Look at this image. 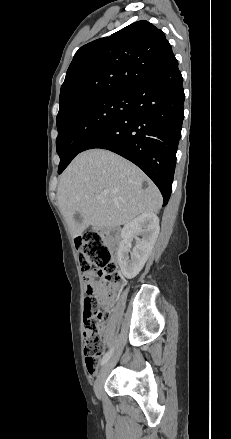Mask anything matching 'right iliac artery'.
Wrapping results in <instances>:
<instances>
[{
    "label": "right iliac artery",
    "instance_id": "right-iliac-artery-1",
    "mask_svg": "<svg viewBox=\"0 0 231 439\" xmlns=\"http://www.w3.org/2000/svg\"><path fill=\"white\" fill-rule=\"evenodd\" d=\"M113 348L112 349H110L104 356H103V358H102V360H101V365H104L108 360H109V358L111 357V355H112V353H113Z\"/></svg>",
    "mask_w": 231,
    "mask_h": 439
}]
</instances>
